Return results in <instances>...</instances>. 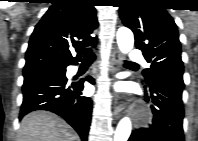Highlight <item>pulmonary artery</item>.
Returning <instances> with one entry per match:
<instances>
[{
  "instance_id": "obj_1",
  "label": "pulmonary artery",
  "mask_w": 198,
  "mask_h": 141,
  "mask_svg": "<svg viewBox=\"0 0 198 141\" xmlns=\"http://www.w3.org/2000/svg\"><path fill=\"white\" fill-rule=\"evenodd\" d=\"M130 60L132 63L134 64H145V59L138 53H133L130 57ZM77 71V68L76 67H73L71 69V72L74 73Z\"/></svg>"
}]
</instances>
